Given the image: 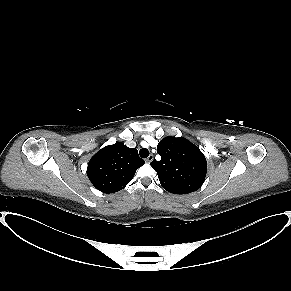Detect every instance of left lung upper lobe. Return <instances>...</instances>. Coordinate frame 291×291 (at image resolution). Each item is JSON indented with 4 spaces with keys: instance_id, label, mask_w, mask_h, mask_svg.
Listing matches in <instances>:
<instances>
[{
    "instance_id": "obj_1",
    "label": "left lung upper lobe",
    "mask_w": 291,
    "mask_h": 291,
    "mask_svg": "<svg viewBox=\"0 0 291 291\" xmlns=\"http://www.w3.org/2000/svg\"><path fill=\"white\" fill-rule=\"evenodd\" d=\"M160 161L150 165L158 174L162 187L174 194L198 190L206 176L207 161L198 147L183 137H165L158 146Z\"/></svg>"
}]
</instances>
